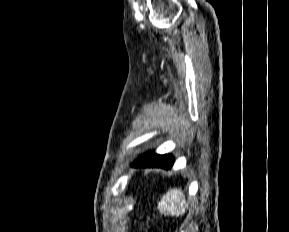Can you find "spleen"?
Returning a JSON list of instances; mask_svg holds the SVG:
<instances>
[{
	"instance_id": "spleen-1",
	"label": "spleen",
	"mask_w": 289,
	"mask_h": 232,
	"mask_svg": "<svg viewBox=\"0 0 289 232\" xmlns=\"http://www.w3.org/2000/svg\"><path fill=\"white\" fill-rule=\"evenodd\" d=\"M188 208L184 194L180 188L169 189L158 203V209L165 216L183 215Z\"/></svg>"
}]
</instances>
